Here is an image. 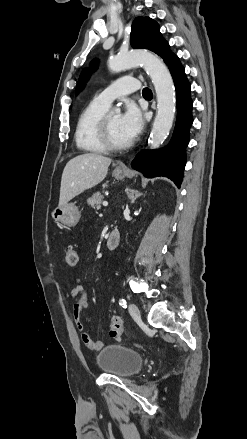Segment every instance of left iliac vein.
<instances>
[{
	"label": "left iliac vein",
	"mask_w": 247,
	"mask_h": 439,
	"mask_svg": "<svg viewBox=\"0 0 247 439\" xmlns=\"http://www.w3.org/2000/svg\"><path fill=\"white\" fill-rule=\"evenodd\" d=\"M128 310L133 319H140V311L134 303L129 304Z\"/></svg>",
	"instance_id": "4c4485c4"
}]
</instances>
